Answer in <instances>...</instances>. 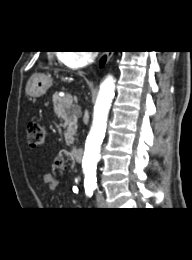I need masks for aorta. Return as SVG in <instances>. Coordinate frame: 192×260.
<instances>
[{"mask_svg": "<svg viewBox=\"0 0 192 260\" xmlns=\"http://www.w3.org/2000/svg\"><path fill=\"white\" fill-rule=\"evenodd\" d=\"M115 80L108 75L100 85L94 107L93 122L87 136L82 168L86 184L96 183V167L100 160V148L105 136L106 123L112 100L114 98Z\"/></svg>", "mask_w": 192, "mask_h": 260, "instance_id": "obj_1", "label": "aorta"}]
</instances>
